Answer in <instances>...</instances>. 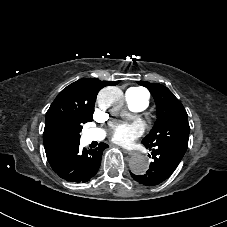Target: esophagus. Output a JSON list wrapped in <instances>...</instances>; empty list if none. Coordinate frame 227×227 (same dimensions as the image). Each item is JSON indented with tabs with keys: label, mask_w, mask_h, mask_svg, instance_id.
<instances>
[{
	"label": "esophagus",
	"mask_w": 227,
	"mask_h": 227,
	"mask_svg": "<svg viewBox=\"0 0 227 227\" xmlns=\"http://www.w3.org/2000/svg\"><path fill=\"white\" fill-rule=\"evenodd\" d=\"M125 153L130 155L131 158H136L137 157V152L136 151H129V150H124Z\"/></svg>",
	"instance_id": "34e87169"
}]
</instances>
